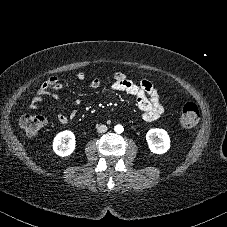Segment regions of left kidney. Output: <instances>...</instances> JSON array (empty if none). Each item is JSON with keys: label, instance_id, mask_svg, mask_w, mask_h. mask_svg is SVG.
<instances>
[{"label": "left kidney", "instance_id": "obj_1", "mask_svg": "<svg viewBox=\"0 0 227 227\" xmlns=\"http://www.w3.org/2000/svg\"><path fill=\"white\" fill-rule=\"evenodd\" d=\"M146 140L152 153L164 154L170 148V137L164 129H150L146 134Z\"/></svg>", "mask_w": 227, "mask_h": 227}]
</instances>
